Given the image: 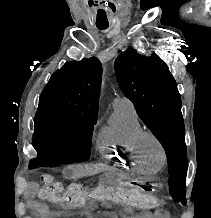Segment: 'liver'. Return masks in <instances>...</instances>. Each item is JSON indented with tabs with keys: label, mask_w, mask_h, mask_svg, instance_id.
<instances>
[{
	"label": "liver",
	"mask_w": 211,
	"mask_h": 218,
	"mask_svg": "<svg viewBox=\"0 0 211 218\" xmlns=\"http://www.w3.org/2000/svg\"><path fill=\"white\" fill-rule=\"evenodd\" d=\"M74 172H77V174H83V176L97 174L96 170H93V168H90V166H74Z\"/></svg>",
	"instance_id": "1"
}]
</instances>
